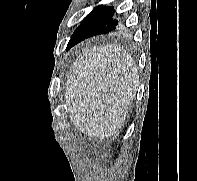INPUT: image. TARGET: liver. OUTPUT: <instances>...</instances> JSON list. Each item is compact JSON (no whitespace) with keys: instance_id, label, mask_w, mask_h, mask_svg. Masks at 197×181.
<instances>
[{"instance_id":"1","label":"liver","mask_w":197,"mask_h":181,"mask_svg":"<svg viewBox=\"0 0 197 181\" xmlns=\"http://www.w3.org/2000/svg\"><path fill=\"white\" fill-rule=\"evenodd\" d=\"M138 86V67L120 45L84 48L66 82L71 123L89 137H115Z\"/></svg>"}]
</instances>
